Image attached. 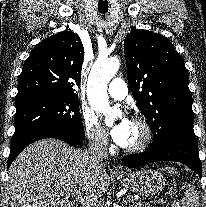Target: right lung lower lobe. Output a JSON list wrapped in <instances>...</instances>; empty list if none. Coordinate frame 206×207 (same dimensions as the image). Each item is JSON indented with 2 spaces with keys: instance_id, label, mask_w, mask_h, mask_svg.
<instances>
[{
  "instance_id": "right-lung-lower-lobe-1",
  "label": "right lung lower lobe",
  "mask_w": 206,
  "mask_h": 207,
  "mask_svg": "<svg viewBox=\"0 0 206 207\" xmlns=\"http://www.w3.org/2000/svg\"><path fill=\"white\" fill-rule=\"evenodd\" d=\"M44 138H56L68 143L71 146L78 145L83 142L84 136L75 135L59 129H42L29 133L17 141L11 142L10 155L8 157L7 167L11 165L18 154L30 143Z\"/></svg>"
}]
</instances>
